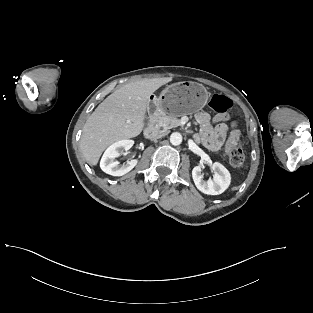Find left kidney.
<instances>
[{
	"mask_svg": "<svg viewBox=\"0 0 313 313\" xmlns=\"http://www.w3.org/2000/svg\"><path fill=\"white\" fill-rule=\"evenodd\" d=\"M203 166H195L192 170V178L195 186L204 194L219 195L223 193L230 185L231 176L229 171L220 163L215 162L212 165L214 171L213 179L203 180Z\"/></svg>",
	"mask_w": 313,
	"mask_h": 313,
	"instance_id": "obj_1",
	"label": "left kidney"
}]
</instances>
